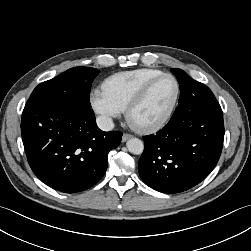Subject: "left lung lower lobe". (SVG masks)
Masks as SVG:
<instances>
[{
  "label": "left lung lower lobe",
  "instance_id": "1",
  "mask_svg": "<svg viewBox=\"0 0 251 251\" xmlns=\"http://www.w3.org/2000/svg\"><path fill=\"white\" fill-rule=\"evenodd\" d=\"M139 160L143 182L162 193L186 191L215 168L224 140L223 112L204 84L180 92L167 125L144 136Z\"/></svg>",
  "mask_w": 251,
  "mask_h": 251
}]
</instances>
